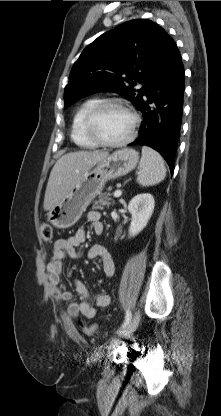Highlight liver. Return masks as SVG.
Here are the masks:
<instances>
[{
  "label": "liver",
  "mask_w": 221,
  "mask_h": 416,
  "mask_svg": "<svg viewBox=\"0 0 221 416\" xmlns=\"http://www.w3.org/2000/svg\"><path fill=\"white\" fill-rule=\"evenodd\" d=\"M109 155L104 151L70 152L59 158L54 165L46 187L44 210H51L72 189L83 173Z\"/></svg>",
  "instance_id": "obj_1"
}]
</instances>
